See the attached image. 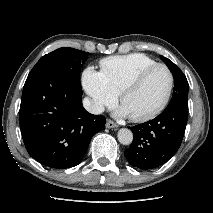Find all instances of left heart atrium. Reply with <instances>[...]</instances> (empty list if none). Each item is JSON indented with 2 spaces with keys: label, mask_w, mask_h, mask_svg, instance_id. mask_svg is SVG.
<instances>
[{
  "label": "left heart atrium",
  "mask_w": 213,
  "mask_h": 213,
  "mask_svg": "<svg viewBox=\"0 0 213 213\" xmlns=\"http://www.w3.org/2000/svg\"><path fill=\"white\" fill-rule=\"evenodd\" d=\"M117 114H118L119 116H122V117L128 115L127 111H126L123 107H121V108L117 111Z\"/></svg>",
  "instance_id": "39dd6f15"
}]
</instances>
